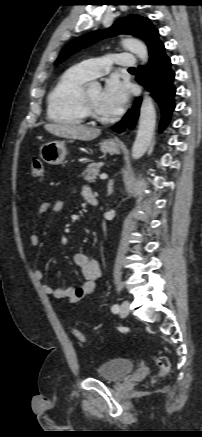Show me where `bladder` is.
<instances>
[{"label": "bladder", "instance_id": "1", "mask_svg": "<svg viewBox=\"0 0 202 437\" xmlns=\"http://www.w3.org/2000/svg\"><path fill=\"white\" fill-rule=\"evenodd\" d=\"M135 368V363L127 358H114L103 362L97 368V376L100 379L117 382L124 379Z\"/></svg>", "mask_w": 202, "mask_h": 437}]
</instances>
